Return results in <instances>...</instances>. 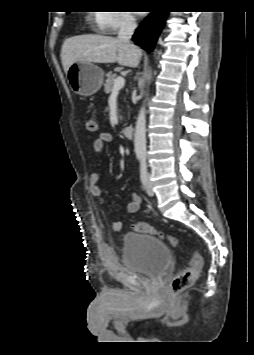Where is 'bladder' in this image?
Here are the masks:
<instances>
[{
	"label": "bladder",
	"mask_w": 254,
	"mask_h": 355,
	"mask_svg": "<svg viewBox=\"0 0 254 355\" xmlns=\"http://www.w3.org/2000/svg\"><path fill=\"white\" fill-rule=\"evenodd\" d=\"M169 261L170 252L160 239L146 234L124 235L122 263L125 269L155 279L168 269Z\"/></svg>",
	"instance_id": "1"
}]
</instances>
